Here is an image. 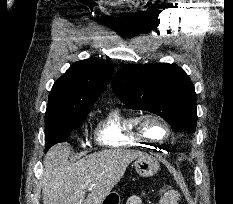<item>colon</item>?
<instances>
[{
	"label": "colon",
	"mask_w": 233,
	"mask_h": 204,
	"mask_svg": "<svg viewBox=\"0 0 233 204\" xmlns=\"http://www.w3.org/2000/svg\"><path fill=\"white\" fill-rule=\"evenodd\" d=\"M180 195L170 184H165L160 189L159 204H178Z\"/></svg>",
	"instance_id": "colon-1"
}]
</instances>
